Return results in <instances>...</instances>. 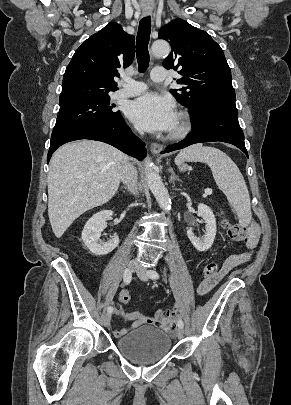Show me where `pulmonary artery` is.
Instances as JSON below:
<instances>
[{
	"instance_id": "e3ab8cb5",
	"label": "pulmonary artery",
	"mask_w": 291,
	"mask_h": 405,
	"mask_svg": "<svg viewBox=\"0 0 291 405\" xmlns=\"http://www.w3.org/2000/svg\"><path fill=\"white\" fill-rule=\"evenodd\" d=\"M151 79L154 82L164 81L166 79L165 70L162 68L153 69L151 72ZM146 88L147 86L143 82L134 80H125V82L121 84V88L114 93L113 97L115 99L133 97L144 92Z\"/></svg>"
}]
</instances>
